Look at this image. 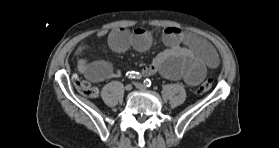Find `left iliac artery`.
Here are the masks:
<instances>
[{
  "instance_id": "left-iliac-artery-1",
  "label": "left iliac artery",
  "mask_w": 279,
  "mask_h": 148,
  "mask_svg": "<svg viewBox=\"0 0 279 148\" xmlns=\"http://www.w3.org/2000/svg\"><path fill=\"white\" fill-rule=\"evenodd\" d=\"M144 84H145V86L150 87L151 86V80L150 79H145Z\"/></svg>"
}]
</instances>
